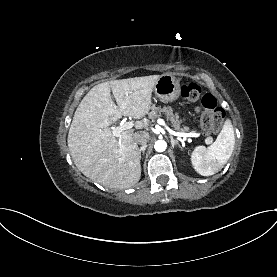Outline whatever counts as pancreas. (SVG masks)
I'll return each instance as SVG.
<instances>
[{"label":"pancreas","mask_w":277,"mask_h":277,"mask_svg":"<svg viewBox=\"0 0 277 277\" xmlns=\"http://www.w3.org/2000/svg\"><path fill=\"white\" fill-rule=\"evenodd\" d=\"M162 114L165 115L166 120L170 121L172 124V127L179 132H188L189 127L184 126L181 127L182 120L179 119V116L177 113L173 112L172 107L170 106H164V107H156L152 106L151 111L148 113L149 118L153 121L157 117L161 116Z\"/></svg>","instance_id":"cf45deb5"}]
</instances>
